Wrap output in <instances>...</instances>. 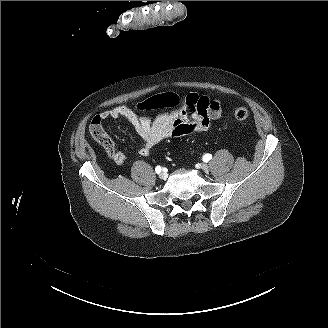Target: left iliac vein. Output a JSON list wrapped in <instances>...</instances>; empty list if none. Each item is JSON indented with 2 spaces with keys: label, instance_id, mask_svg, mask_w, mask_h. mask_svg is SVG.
<instances>
[{
  "label": "left iliac vein",
  "instance_id": "obj_1",
  "mask_svg": "<svg viewBox=\"0 0 328 328\" xmlns=\"http://www.w3.org/2000/svg\"><path fill=\"white\" fill-rule=\"evenodd\" d=\"M200 169L204 172H209V167L206 164H200Z\"/></svg>",
  "mask_w": 328,
  "mask_h": 328
}]
</instances>
